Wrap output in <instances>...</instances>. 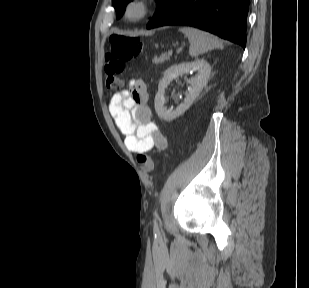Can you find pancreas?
<instances>
[{"label":"pancreas","mask_w":309,"mask_h":288,"mask_svg":"<svg viewBox=\"0 0 309 288\" xmlns=\"http://www.w3.org/2000/svg\"><path fill=\"white\" fill-rule=\"evenodd\" d=\"M168 59H169V56H167L166 54H162L160 56H155L154 59L152 60V62L154 64L158 65V64L164 63Z\"/></svg>","instance_id":"pancreas-1"}]
</instances>
